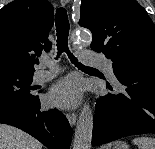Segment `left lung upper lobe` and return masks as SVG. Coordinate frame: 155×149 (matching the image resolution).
I'll return each mask as SVG.
<instances>
[{
  "label": "left lung upper lobe",
  "instance_id": "5c2ea615",
  "mask_svg": "<svg viewBox=\"0 0 155 149\" xmlns=\"http://www.w3.org/2000/svg\"><path fill=\"white\" fill-rule=\"evenodd\" d=\"M79 24L93 35L91 48L113 61L155 65V27L136 0H82Z\"/></svg>",
  "mask_w": 155,
  "mask_h": 149
}]
</instances>
